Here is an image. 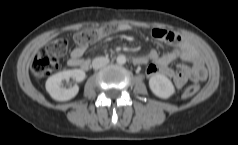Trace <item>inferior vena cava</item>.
<instances>
[{
  "instance_id": "602c4592",
  "label": "inferior vena cava",
  "mask_w": 238,
  "mask_h": 145,
  "mask_svg": "<svg viewBox=\"0 0 238 145\" xmlns=\"http://www.w3.org/2000/svg\"><path fill=\"white\" fill-rule=\"evenodd\" d=\"M108 63L109 59L107 57H96L92 61V67L93 69L98 70L107 65Z\"/></svg>"
}]
</instances>
